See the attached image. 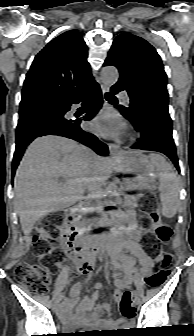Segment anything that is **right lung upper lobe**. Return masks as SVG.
<instances>
[{
  "instance_id": "cb5924a9",
  "label": "right lung upper lobe",
  "mask_w": 194,
  "mask_h": 336,
  "mask_svg": "<svg viewBox=\"0 0 194 336\" xmlns=\"http://www.w3.org/2000/svg\"><path fill=\"white\" fill-rule=\"evenodd\" d=\"M87 56L86 44L75 30L49 42L26 75L20 109L53 108L94 80Z\"/></svg>"
}]
</instances>
